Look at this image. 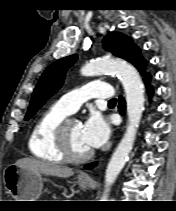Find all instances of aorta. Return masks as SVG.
<instances>
[{"label": "aorta", "mask_w": 176, "mask_h": 211, "mask_svg": "<svg viewBox=\"0 0 176 211\" xmlns=\"http://www.w3.org/2000/svg\"><path fill=\"white\" fill-rule=\"evenodd\" d=\"M108 72L118 74L124 87L128 125L123 138L108 163L105 173V190L101 201H107L111 186L128 160L142 117L145 101L142 80L137 70L126 62L102 58L87 63L81 69V74L84 76H97Z\"/></svg>", "instance_id": "762f6f07"}]
</instances>
